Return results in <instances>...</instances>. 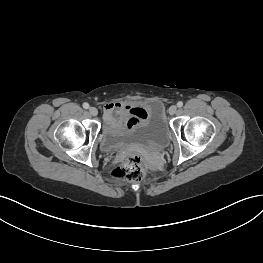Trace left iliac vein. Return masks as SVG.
Returning <instances> with one entry per match:
<instances>
[{
    "label": "left iliac vein",
    "instance_id": "1",
    "mask_svg": "<svg viewBox=\"0 0 263 263\" xmlns=\"http://www.w3.org/2000/svg\"><path fill=\"white\" fill-rule=\"evenodd\" d=\"M176 112H177V106L172 105V106L169 108V113H170L171 115H174Z\"/></svg>",
    "mask_w": 263,
    "mask_h": 263
}]
</instances>
